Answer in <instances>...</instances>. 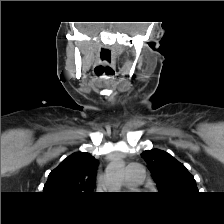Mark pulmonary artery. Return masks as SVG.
I'll return each instance as SVG.
<instances>
[{"instance_id": "obj_1", "label": "pulmonary artery", "mask_w": 224, "mask_h": 224, "mask_svg": "<svg viewBox=\"0 0 224 224\" xmlns=\"http://www.w3.org/2000/svg\"><path fill=\"white\" fill-rule=\"evenodd\" d=\"M144 181L143 170L137 165H130L126 170L125 184L129 187L140 186Z\"/></svg>"}]
</instances>
